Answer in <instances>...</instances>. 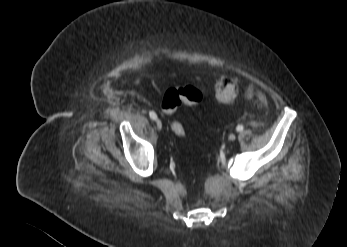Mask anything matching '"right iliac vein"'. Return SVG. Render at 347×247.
<instances>
[{"mask_svg": "<svg viewBox=\"0 0 347 247\" xmlns=\"http://www.w3.org/2000/svg\"><path fill=\"white\" fill-rule=\"evenodd\" d=\"M156 127H157V129H159V130L162 129V122H161L159 119L156 120Z\"/></svg>", "mask_w": 347, "mask_h": 247, "instance_id": "obj_1", "label": "right iliac vein"}]
</instances>
